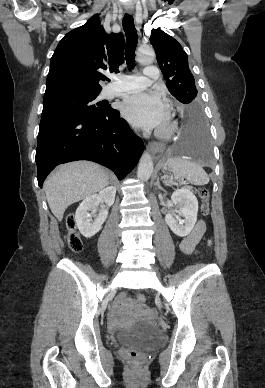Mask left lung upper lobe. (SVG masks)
Here are the masks:
<instances>
[{
  "mask_svg": "<svg viewBox=\"0 0 265 388\" xmlns=\"http://www.w3.org/2000/svg\"><path fill=\"white\" fill-rule=\"evenodd\" d=\"M150 42L155 49L159 67L170 93L185 104L184 110L201 109L195 80L188 66L187 54L181 45L160 29L151 33Z\"/></svg>",
  "mask_w": 265,
  "mask_h": 388,
  "instance_id": "5c2ea615",
  "label": "left lung upper lobe"
}]
</instances>
